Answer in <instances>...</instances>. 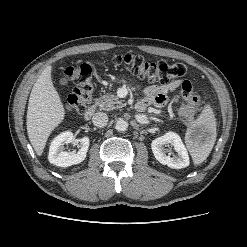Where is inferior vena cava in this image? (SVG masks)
<instances>
[{
	"label": "inferior vena cava",
	"instance_id": "602c4592",
	"mask_svg": "<svg viewBox=\"0 0 247 247\" xmlns=\"http://www.w3.org/2000/svg\"><path fill=\"white\" fill-rule=\"evenodd\" d=\"M92 122L97 127H104L108 123V116L103 112L95 113L92 117Z\"/></svg>",
	"mask_w": 247,
	"mask_h": 247
}]
</instances>
